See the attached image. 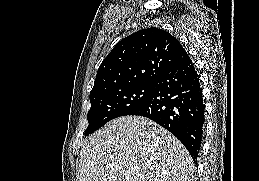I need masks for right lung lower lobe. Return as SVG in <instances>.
Instances as JSON below:
<instances>
[{
	"instance_id": "right-lung-lower-lobe-1",
	"label": "right lung lower lobe",
	"mask_w": 259,
	"mask_h": 181,
	"mask_svg": "<svg viewBox=\"0 0 259 181\" xmlns=\"http://www.w3.org/2000/svg\"><path fill=\"white\" fill-rule=\"evenodd\" d=\"M148 100L130 115L147 117L176 136L194 162L201 146L204 105L199 75L187 57L153 83Z\"/></svg>"
}]
</instances>
